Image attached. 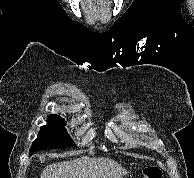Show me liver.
<instances>
[{
	"instance_id": "1",
	"label": "liver",
	"mask_w": 194,
	"mask_h": 178,
	"mask_svg": "<svg viewBox=\"0 0 194 178\" xmlns=\"http://www.w3.org/2000/svg\"><path fill=\"white\" fill-rule=\"evenodd\" d=\"M127 171L109 158L80 157L45 167L40 178H123Z\"/></svg>"
}]
</instances>
